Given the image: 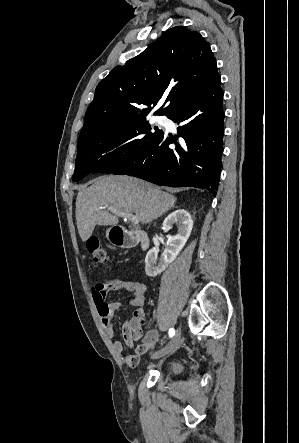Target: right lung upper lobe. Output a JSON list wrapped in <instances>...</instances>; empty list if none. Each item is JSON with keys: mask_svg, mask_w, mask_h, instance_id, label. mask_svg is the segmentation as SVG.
<instances>
[{"mask_svg": "<svg viewBox=\"0 0 299 443\" xmlns=\"http://www.w3.org/2000/svg\"><path fill=\"white\" fill-rule=\"evenodd\" d=\"M217 64L204 38L183 26L167 30L124 66L115 67L95 90L80 137L101 127L154 114L166 115L216 76Z\"/></svg>", "mask_w": 299, "mask_h": 443, "instance_id": "right-lung-upper-lobe-1", "label": "right lung upper lobe"}]
</instances>
